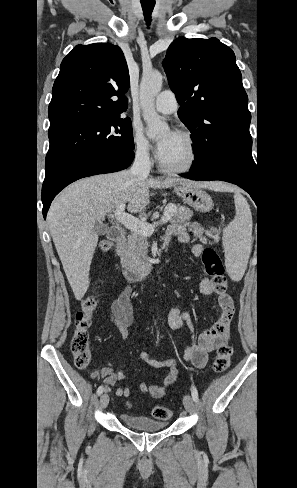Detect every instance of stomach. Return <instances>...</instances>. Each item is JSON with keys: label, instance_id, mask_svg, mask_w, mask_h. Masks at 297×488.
<instances>
[{"label": "stomach", "instance_id": "stomach-1", "mask_svg": "<svg viewBox=\"0 0 297 488\" xmlns=\"http://www.w3.org/2000/svg\"><path fill=\"white\" fill-rule=\"evenodd\" d=\"M175 193L195 210L199 212H209L213 208L212 198L204 190L194 186H177Z\"/></svg>", "mask_w": 297, "mask_h": 488}]
</instances>
